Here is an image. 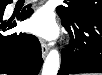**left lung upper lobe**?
<instances>
[{
	"label": "left lung upper lobe",
	"instance_id": "5c2ea615",
	"mask_svg": "<svg viewBox=\"0 0 102 75\" xmlns=\"http://www.w3.org/2000/svg\"><path fill=\"white\" fill-rule=\"evenodd\" d=\"M58 15L73 19L92 14L102 15V0H69L66 6L57 7Z\"/></svg>",
	"mask_w": 102,
	"mask_h": 75
}]
</instances>
